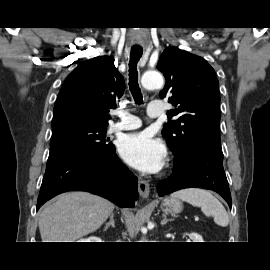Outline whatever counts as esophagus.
Returning a JSON list of instances; mask_svg holds the SVG:
<instances>
[{
	"label": "esophagus",
	"instance_id": "1",
	"mask_svg": "<svg viewBox=\"0 0 270 270\" xmlns=\"http://www.w3.org/2000/svg\"><path fill=\"white\" fill-rule=\"evenodd\" d=\"M149 191H150L149 183L146 180L139 178L138 179V192L140 196L142 198H147L149 195Z\"/></svg>",
	"mask_w": 270,
	"mask_h": 270
}]
</instances>
